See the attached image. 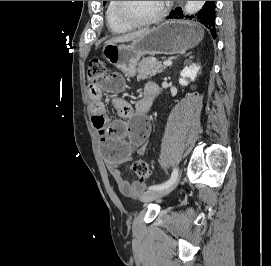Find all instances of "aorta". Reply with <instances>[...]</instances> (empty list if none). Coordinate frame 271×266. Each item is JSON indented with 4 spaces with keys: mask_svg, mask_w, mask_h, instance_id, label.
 I'll use <instances>...</instances> for the list:
<instances>
[{
    "mask_svg": "<svg viewBox=\"0 0 271 266\" xmlns=\"http://www.w3.org/2000/svg\"><path fill=\"white\" fill-rule=\"evenodd\" d=\"M206 1H187L184 7V12L188 15H193L200 11Z\"/></svg>",
    "mask_w": 271,
    "mask_h": 266,
    "instance_id": "762f6f07",
    "label": "aorta"
}]
</instances>
